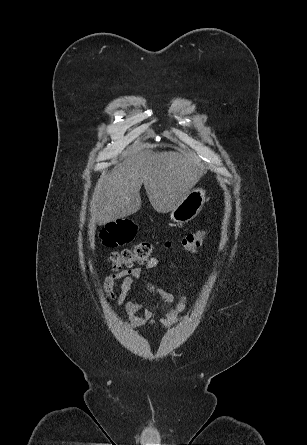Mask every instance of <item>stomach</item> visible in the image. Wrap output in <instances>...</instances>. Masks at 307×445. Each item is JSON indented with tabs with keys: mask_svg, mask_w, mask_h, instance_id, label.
<instances>
[{
	"mask_svg": "<svg viewBox=\"0 0 307 445\" xmlns=\"http://www.w3.org/2000/svg\"><path fill=\"white\" fill-rule=\"evenodd\" d=\"M206 200V192L204 188H192L187 196L182 198L181 202L170 212V218L173 223L183 225L189 223V220L195 218L202 210V206Z\"/></svg>",
	"mask_w": 307,
	"mask_h": 445,
	"instance_id": "1",
	"label": "stomach"
}]
</instances>
